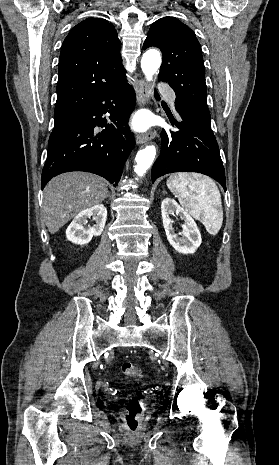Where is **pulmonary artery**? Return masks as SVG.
Here are the masks:
<instances>
[{
  "label": "pulmonary artery",
  "mask_w": 279,
  "mask_h": 465,
  "mask_svg": "<svg viewBox=\"0 0 279 465\" xmlns=\"http://www.w3.org/2000/svg\"><path fill=\"white\" fill-rule=\"evenodd\" d=\"M160 91H161V93H163L168 98L170 104L174 107L176 97H175V94L173 93V91L170 88H168L167 86H164V85H162L160 87Z\"/></svg>",
  "instance_id": "obj_1"
}]
</instances>
